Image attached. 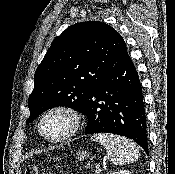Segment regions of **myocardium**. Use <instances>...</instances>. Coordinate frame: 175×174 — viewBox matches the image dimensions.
Here are the masks:
<instances>
[{"instance_id":"obj_1","label":"myocardium","mask_w":175,"mask_h":174,"mask_svg":"<svg viewBox=\"0 0 175 174\" xmlns=\"http://www.w3.org/2000/svg\"><path fill=\"white\" fill-rule=\"evenodd\" d=\"M64 113L66 115H68L71 119V127L69 128V130L67 132H65L64 134L58 136V137H49L44 133L43 130V123L45 121V119L53 114V113ZM83 123V117L82 114L80 113L79 110H77L76 108H74L73 106L70 105H66V104H59V105H55L51 108H49L48 110H46L43 115L41 116L40 120H39V125H38V130L40 135L47 141L52 142V143H57V142H63L71 137H73L81 128Z\"/></svg>"}]
</instances>
